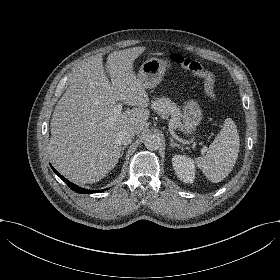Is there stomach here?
Here are the masks:
<instances>
[{
    "mask_svg": "<svg viewBox=\"0 0 280 280\" xmlns=\"http://www.w3.org/2000/svg\"><path fill=\"white\" fill-rule=\"evenodd\" d=\"M165 73V64L158 58H151L142 63L137 74V80L144 85L146 90L157 87ZM185 130L191 132L201 120V109L196 103L188 102L184 109Z\"/></svg>",
    "mask_w": 280,
    "mask_h": 280,
    "instance_id": "stomach-1",
    "label": "stomach"
}]
</instances>
